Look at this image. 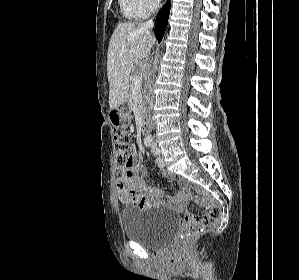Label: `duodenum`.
Returning a JSON list of instances; mask_svg holds the SVG:
<instances>
[{"mask_svg":"<svg viewBox=\"0 0 299 280\" xmlns=\"http://www.w3.org/2000/svg\"><path fill=\"white\" fill-rule=\"evenodd\" d=\"M150 126V120L147 114H144L142 117V122H141V133L142 135H146Z\"/></svg>","mask_w":299,"mask_h":280,"instance_id":"duodenum-1","label":"duodenum"}]
</instances>
